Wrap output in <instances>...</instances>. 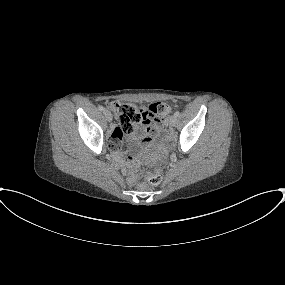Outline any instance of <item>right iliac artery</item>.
Instances as JSON below:
<instances>
[{
	"instance_id": "1",
	"label": "right iliac artery",
	"mask_w": 285,
	"mask_h": 285,
	"mask_svg": "<svg viewBox=\"0 0 285 285\" xmlns=\"http://www.w3.org/2000/svg\"><path fill=\"white\" fill-rule=\"evenodd\" d=\"M100 111H105V108L103 106L98 107Z\"/></svg>"
}]
</instances>
